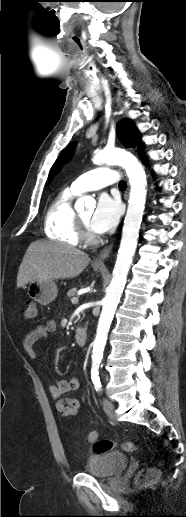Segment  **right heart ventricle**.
I'll use <instances>...</instances> for the list:
<instances>
[{"label":"right heart ventricle","instance_id":"e07e8e85","mask_svg":"<svg viewBox=\"0 0 186 517\" xmlns=\"http://www.w3.org/2000/svg\"><path fill=\"white\" fill-rule=\"evenodd\" d=\"M77 194L72 188H64L51 201L44 228L48 238L69 246L80 243L78 215L72 207V199Z\"/></svg>","mask_w":186,"mask_h":517}]
</instances>
